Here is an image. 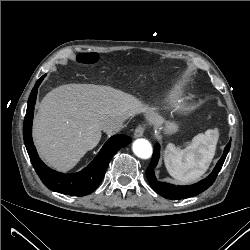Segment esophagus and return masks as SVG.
Returning a JSON list of instances; mask_svg holds the SVG:
<instances>
[{"label": "esophagus", "instance_id": "obj_1", "mask_svg": "<svg viewBox=\"0 0 250 250\" xmlns=\"http://www.w3.org/2000/svg\"><path fill=\"white\" fill-rule=\"evenodd\" d=\"M144 130H145L144 126L139 125L134 131V137L135 138L142 137L144 134Z\"/></svg>", "mask_w": 250, "mask_h": 250}]
</instances>
